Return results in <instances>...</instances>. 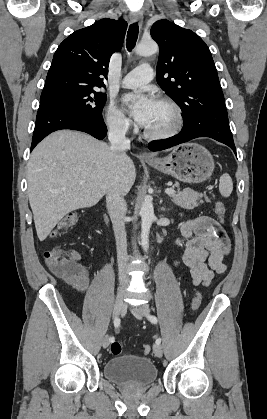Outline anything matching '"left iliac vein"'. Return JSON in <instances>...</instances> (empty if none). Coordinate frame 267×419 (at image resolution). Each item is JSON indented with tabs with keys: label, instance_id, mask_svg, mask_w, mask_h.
Segmentation results:
<instances>
[{
	"label": "left iliac vein",
	"instance_id": "obj_1",
	"mask_svg": "<svg viewBox=\"0 0 267 419\" xmlns=\"http://www.w3.org/2000/svg\"><path fill=\"white\" fill-rule=\"evenodd\" d=\"M130 311L132 314L138 318L142 319V317L149 313V307L148 305L138 306V307H130ZM153 352L157 357H162L163 355V348L160 344H155L153 346Z\"/></svg>",
	"mask_w": 267,
	"mask_h": 419
}]
</instances>
